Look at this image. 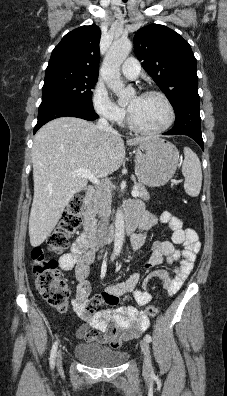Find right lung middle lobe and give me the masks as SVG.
<instances>
[{"mask_svg": "<svg viewBox=\"0 0 227 396\" xmlns=\"http://www.w3.org/2000/svg\"><path fill=\"white\" fill-rule=\"evenodd\" d=\"M98 76L69 71H49L45 73L42 88V103L53 100H68L80 106L94 110L92 89Z\"/></svg>", "mask_w": 227, "mask_h": 396, "instance_id": "obj_1", "label": "right lung middle lobe"}]
</instances>
